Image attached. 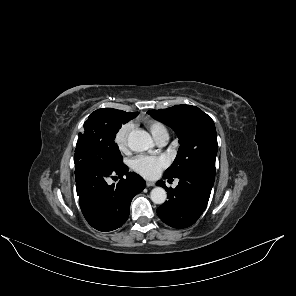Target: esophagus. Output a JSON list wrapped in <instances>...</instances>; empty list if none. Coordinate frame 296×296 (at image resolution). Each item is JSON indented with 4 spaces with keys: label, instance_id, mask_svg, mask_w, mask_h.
Returning <instances> with one entry per match:
<instances>
[{
    "label": "esophagus",
    "instance_id": "obj_1",
    "mask_svg": "<svg viewBox=\"0 0 296 296\" xmlns=\"http://www.w3.org/2000/svg\"><path fill=\"white\" fill-rule=\"evenodd\" d=\"M146 185H147V187H152V186H155V182H153V181H146Z\"/></svg>",
    "mask_w": 296,
    "mask_h": 296
}]
</instances>
